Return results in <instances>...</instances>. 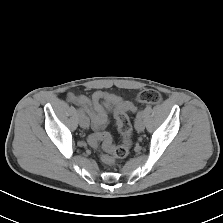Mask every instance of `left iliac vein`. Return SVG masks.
<instances>
[{"label": "left iliac vein", "instance_id": "obj_1", "mask_svg": "<svg viewBox=\"0 0 223 223\" xmlns=\"http://www.w3.org/2000/svg\"><path fill=\"white\" fill-rule=\"evenodd\" d=\"M135 128L138 132H142L144 130V122L141 118H136Z\"/></svg>", "mask_w": 223, "mask_h": 223}]
</instances>
